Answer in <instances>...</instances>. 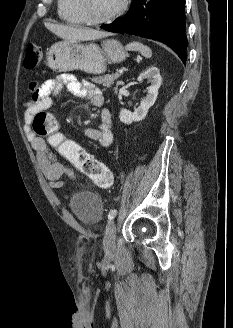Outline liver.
I'll list each match as a JSON object with an SVG mask.
<instances>
[{
    "label": "liver",
    "mask_w": 233,
    "mask_h": 328,
    "mask_svg": "<svg viewBox=\"0 0 233 328\" xmlns=\"http://www.w3.org/2000/svg\"><path fill=\"white\" fill-rule=\"evenodd\" d=\"M45 27L65 41H89L104 37L106 34L91 28L74 27L53 23H45Z\"/></svg>",
    "instance_id": "obj_1"
}]
</instances>
